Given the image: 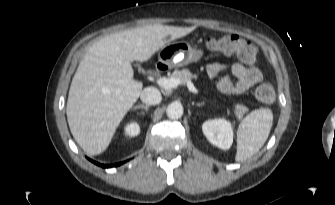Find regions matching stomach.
<instances>
[{"mask_svg":"<svg viewBox=\"0 0 335 205\" xmlns=\"http://www.w3.org/2000/svg\"><path fill=\"white\" fill-rule=\"evenodd\" d=\"M202 56V50L192 48L186 42L169 43L159 51V60L174 67H182L197 62Z\"/></svg>","mask_w":335,"mask_h":205,"instance_id":"1","label":"stomach"}]
</instances>
